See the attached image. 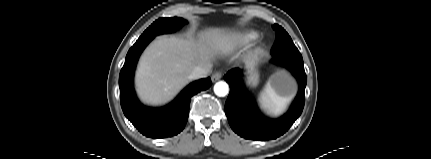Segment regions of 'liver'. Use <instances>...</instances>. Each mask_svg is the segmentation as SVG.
Listing matches in <instances>:
<instances>
[{"mask_svg": "<svg viewBox=\"0 0 431 159\" xmlns=\"http://www.w3.org/2000/svg\"><path fill=\"white\" fill-rule=\"evenodd\" d=\"M234 34L212 28L197 38L161 36L142 54L136 72V89L140 99L150 105L170 101L189 82L197 66L211 64L217 54L233 50Z\"/></svg>", "mask_w": 431, "mask_h": 159, "instance_id": "liver-1", "label": "liver"}]
</instances>
